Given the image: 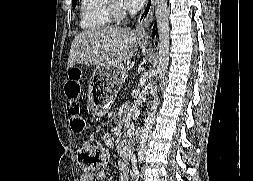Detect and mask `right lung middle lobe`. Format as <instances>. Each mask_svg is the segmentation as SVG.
<instances>
[{"label": "right lung middle lobe", "mask_w": 253, "mask_h": 181, "mask_svg": "<svg viewBox=\"0 0 253 181\" xmlns=\"http://www.w3.org/2000/svg\"><path fill=\"white\" fill-rule=\"evenodd\" d=\"M72 6H73V8H75V6H76V0H72Z\"/></svg>", "instance_id": "right-lung-middle-lobe-1"}]
</instances>
